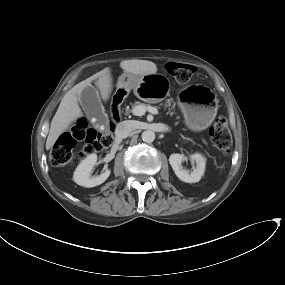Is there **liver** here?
<instances>
[{
    "instance_id": "6515ba94",
    "label": "liver",
    "mask_w": 285,
    "mask_h": 285,
    "mask_svg": "<svg viewBox=\"0 0 285 285\" xmlns=\"http://www.w3.org/2000/svg\"><path fill=\"white\" fill-rule=\"evenodd\" d=\"M120 67L125 72L141 76L155 74L157 72L156 64L147 60H124L120 62ZM93 80H95V84L99 88L102 98L108 100L112 91V77L110 68L106 67L86 80L76 84L64 95L51 122L50 131L46 140L47 150L53 147L60 135L65 132L73 122L83 116L78 102L80 101L82 90L86 86L91 85Z\"/></svg>"
}]
</instances>
